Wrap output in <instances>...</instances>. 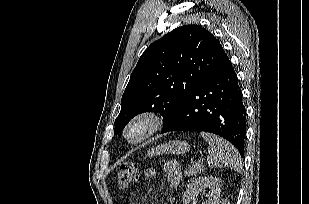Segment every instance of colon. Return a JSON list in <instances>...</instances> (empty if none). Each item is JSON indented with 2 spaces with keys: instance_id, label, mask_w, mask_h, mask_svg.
Returning a JSON list of instances; mask_svg holds the SVG:
<instances>
[{
  "instance_id": "5ec220e1",
  "label": "colon",
  "mask_w": 309,
  "mask_h": 204,
  "mask_svg": "<svg viewBox=\"0 0 309 204\" xmlns=\"http://www.w3.org/2000/svg\"><path fill=\"white\" fill-rule=\"evenodd\" d=\"M139 168L135 162H128L120 167L118 172V185L127 188L138 176Z\"/></svg>"
}]
</instances>
